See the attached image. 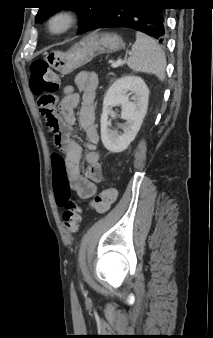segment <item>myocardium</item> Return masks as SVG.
I'll use <instances>...</instances> for the list:
<instances>
[{
	"label": "myocardium",
	"instance_id": "myocardium-1",
	"mask_svg": "<svg viewBox=\"0 0 213 338\" xmlns=\"http://www.w3.org/2000/svg\"><path fill=\"white\" fill-rule=\"evenodd\" d=\"M75 22L76 15L73 12L60 10L48 17L47 29L52 36H59L72 29Z\"/></svg>",
	"mask_w": 213,
	"mask_h": 338
}]
</instances>
